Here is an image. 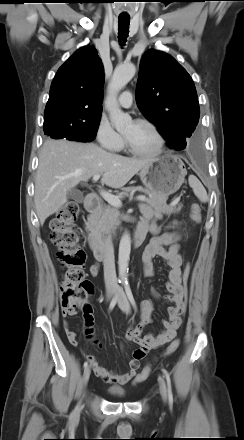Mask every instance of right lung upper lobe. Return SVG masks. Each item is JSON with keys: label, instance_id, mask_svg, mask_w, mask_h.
Returning a JSON list of instances; mask_svg holds the SVG:
<instances>
[{"label": "right lung upper lobe", "instance_id": "1", "mask_svg": "<svg viewBox=\"0 0 244 440\" xmlns=\"http://www.w3.org/2000/svg\"><path fill=\"white\" fill-rule=\"evenodd\" d=\"M92 46L77 50L58 70L50 89L44 121L87 124L100 120L104 72Z\"/></svg>", "mask_w": 244, "mask_h": 440}]
</instances>
